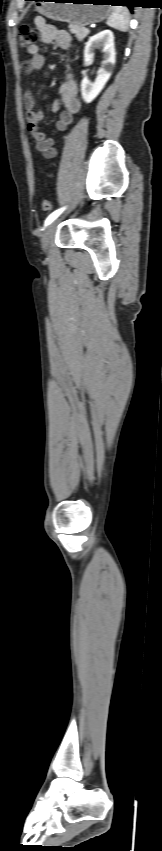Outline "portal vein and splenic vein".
Returning <instances> with one entry per match:
<instances>
[{"label": "portal vein and splenic vein", "instance_id": "obj_1", "mask_svg": "<svg viewBox=\"0 0 162 851\" xmlns=\"http://www.w3.org/2000/svg\"><path fill=\"white\" fill-rule=\"evenodd\" d=\"M85 31L87 32V31H89V29H88V28H85Z\"/></svg>", "mask_w": 162, "mask_h": 851}]
</instances>
